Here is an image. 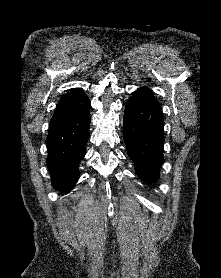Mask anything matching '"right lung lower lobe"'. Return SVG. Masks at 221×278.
<instances>
[{
  "instance_id": "right-lung-lower-lobe-1",
  "label": "right lung lower lobe",
  "mask_w": 221,
  "mask_h": 278,
  "mask_svg": "<svg viewBox=\"0 0 221 278\" xmlns=\"http://www.w3.org/2000/svg\"><path fill=\"white\" fill-rule=\"evenodd\" d=\"M89 108L77 118L48 132L47 167L52 186L60 192H69L79 178L78 166L89 138Z\"/></svg>"
}]
</instances>
